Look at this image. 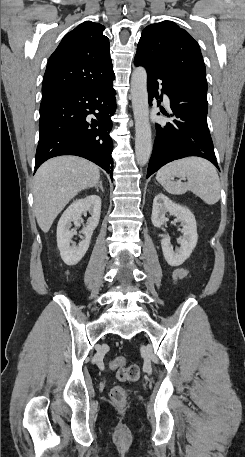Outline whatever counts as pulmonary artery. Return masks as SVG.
Returning <instances> with one entry per match:
<instances>
[{
    "label": "pulmonary artery",
    "mask_w": 245,
    "mask_h": 457,
    "mask_svg": "<svg viewBox=\"0 0 245 457\" xmlns=\"http://www.w3.org/2000/svg\"><path fill=\"white\" fill-rule=\"evenodd\" d=\"M160 100L162 102H166V103H163V108H169V103H168V100H169V95L167 93H162L160 95Z\"/></svg>",
    "instance_id": "pulmonary-artery-1"
}]
</instances>
